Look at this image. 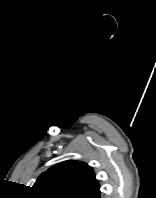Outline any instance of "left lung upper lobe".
Here are the masks:
<instances>
[{
	"label": "left lung upper lobe",
	"mask_w": 156,
	"mask_h": 198,
	"mask_svg": "<svg viewBox=\"0 0 156 198\" xmlns=\"http://www.w3.org/2000/svg\"><path fill=\"white\" fill-rule=\"evenodd\" d=\"M38 198H100L92 168L84 162H61L42 173L33 186Z\"/></svg>",
	"instance_id": "5c2ea615"
}]
</instances>
